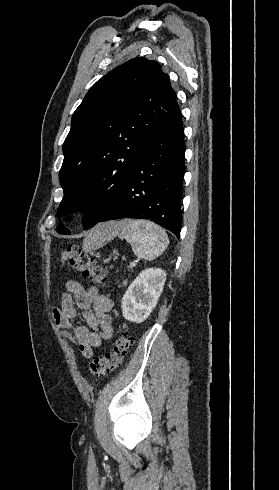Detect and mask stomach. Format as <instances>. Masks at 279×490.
Segmentation results:
<instances>
[{
    "label": "stomach",
    "mask_w": 279,
    "mask_h": 490,
    "mask_svg": "<svg viewBox=\"0 0 279 490\" xmlns=\"http://www.w3.org/2000/svg\"><path fill=\"white\" fill-rule=\"evenodd\" d=\"M108 260H109V258H108ZM108 260H104V262H108Z\"/></svg>",
    "instance_id": "stomach-1"
}]
</instances>
